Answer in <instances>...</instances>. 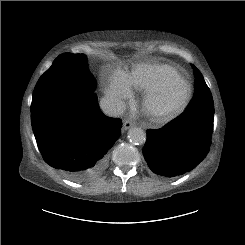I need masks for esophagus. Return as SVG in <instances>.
<instances>
[{
    "instance_id": "34e87169",
    "label": "esophagus",
    "mask_w": 245,
    "mask_h": 245,
    "mask_svg": "<svg viewBox=\"0 0 245 245\" xmlns=\"http://www.w3.org/2000/svg\"><path fill=\"white\" fill-rule=\"evenodd\" d=\"M134 126V123L129 121V120H124L123 121V130H128Z\"/></svg>"
}]
</instances>
